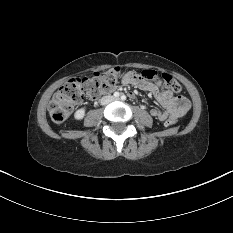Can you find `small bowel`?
<instances>
[{"instance_id":"c3829d8e","label":"small bowel","mask_w":233,"mask_h":233,"mask_svg":"<svg viewBox=\"0 0 233 233\" xmlns=\"http://www.w3.org/2000/svg\"><path fill=\"white\" fill-rule=\"evenodd\" d=\"M119 81L123 85H133L141 90L150 92L157 99L163 110L151 107L149 113L160 121L177 119L184 116L189 108L190 102L183 96H174L169 90L160 84L147 82L139 77L136 71L127 70L120 76Z\"/></svg>"}]
</instances>
